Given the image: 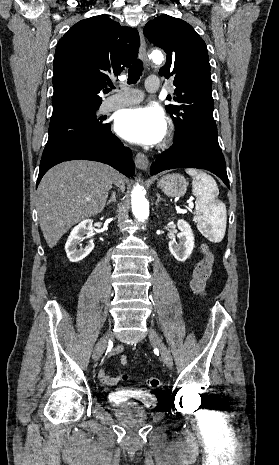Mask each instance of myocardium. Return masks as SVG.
Wrapping results in <instances>:
<instances>
[{"label": "myocardium", "instance_id": "myocardium-1", "mask_svg": "<svg viewBox=\"0 0 279 465\" xmlns=\"http://www.w3.org/2000/svg\"><path fill=\"white\" fill-rule=\"evenodd\" d=\"M170 140H171V134L169 133L167 137L165 138V140L163 141L162 146L167 145L170 142Z\"/></svg>", "mask_w": 279, "mask_h": 465}]
</instances>
